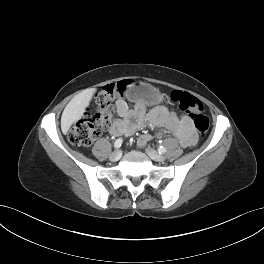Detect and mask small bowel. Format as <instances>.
<instances>
[{
  "label": "small bowel",
  "mask_w": 264,
  "mask_h": 264,
  "mask_svg": "<svg viewBox=\"0 0 264 264\" xmlns=\"http://www.w3.org/2000/svg\"><path fill=\"white\" fill-rule=\"evenodd\" d=\"M115 105L119 118L109 128L113 135L128 136L148 124L152 127L166 128L178 138L184 148L191 147L197 142V133L191 119L186 115L177 116L163 106H157L147 114L144 104L137 103L130 109L123 99H118ZM152 137L151 134L141 135L137 141L138 146H145Z\"/></svg>",
  "instance_id": "small-bowel-1"
}]
</instances>
